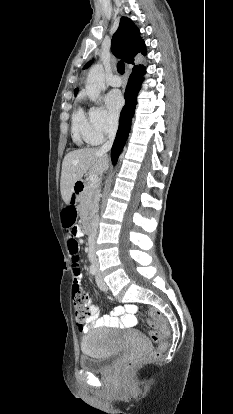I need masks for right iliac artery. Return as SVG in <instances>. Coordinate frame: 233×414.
Wrapping results in <instances>:
<instances>
[{
  "label": "right iliac artery",
  "instance_id": "82829eb1",
  "mask_svg": "<svg viewBox=\"0 0 233 414\" xmlns=\"http://www.w3.org/2000/svg\"><path fill=\"white\" fill-rule=\"evenodd\" d=\"M90 273H91L92 275H96L97 270H96V267H95L94 265H91V266H90Z\"/></svg>",
  "mask_w": 233,
  "mask_h": 414
}]
</instances>
